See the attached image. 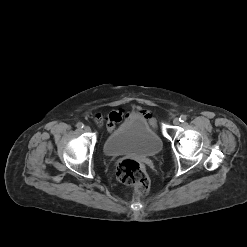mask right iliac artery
Returning <instances> with one entry per match:
<instances>
[{"label":"right iliac artery","mask_w":247,"mask_h":247,"mask_svg":"<svg viewBox=\"0 0 247 247\" xmlns=\"http://www.w3.org/2000/svg\"><path fill=\"white\" fill-rule=\"evenodd\" d=\"M78 128H83L84 127V124L82 122H78L77 125H76Z\"/></svg>","instance_id":"right-iliac-artery-1"}]
</instances>
